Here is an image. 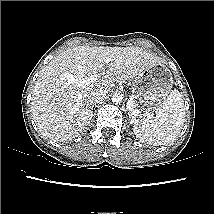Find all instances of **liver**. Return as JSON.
I'll return each mask as SVG.
<instances>
[{
	"label": "liver",
	"mask_w": 214,
	"mask_h": 214,
	"mask_svg": "<svg viewBox=\"0 0 214 214\" xmlns=\"http://www.w3.org/2000/svg\"><path fill=\"white\" fill-rule=\"evenodd\" d=\"M106 57L111 58L109 66ZM157 62L140 47L78 46L60 53L42 69L32 92L31 113L38 130L55 142L79 136L92 118L90 96L95 90H110L118 81L135 79ZM105 68L106 75L85 87L65 77L85 79Z\"/></svg>",
	"instance_id": "obj_1"
}]
</instances>
